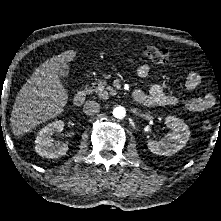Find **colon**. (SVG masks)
I'll use <instances>...</instances> for the list:
<instances>
[{"instance_id": "1", "label": "colon", "mask_w": 221, "mask_h": 221, "mask_svg": "<svg viewBox=\"0 0 221 221\" xmlns=\"http://www.w3.org/2000/svg\"><path fill=\"white\" fill-rule=\"evenodd\" d=\"M142 52L147 59L155 63L166 64L173 60V57L168 50L155 46H146L143 48ZM203 127L205 129H210L212 127V123L210 121H204Z\"/></svg>"}]
</instances>
